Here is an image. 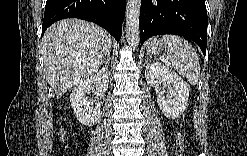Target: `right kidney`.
<instances>
[{
	"label": "right kidney",
	"instance_id": "ca27d5eb",
	"mask_svg": "<svg viewBox=\"0 0 247 156\" xmlns=\"http://www.w3.org/2000/svg\"><path fill=\"white\" fill-rule=\"evenodd\" d=\"M109 77V70L107 68H102L101 70L96 71L95 74L90 75L86 80L79 82L72 90V93L70 94V103L76 118L82 125L91 127L99 121L102 106L99 102L96 103L95 106H90L86 95L94 88L98 93L105 91L109 84Z\"/></svg>",
	"mask_w": 247,
	"mask_h": 156
}]
</instances>
